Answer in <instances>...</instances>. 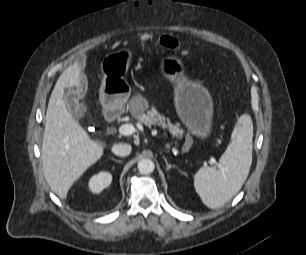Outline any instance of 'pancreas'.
Instances as JSON below:
<instances>
[{
  "label": "pancreas",
  "instance_id": "cf45deb5",
  "mask_svg": "<svg viewBox=\"0 0 306 255\" xmlns=\"http://www.w3.org/2000/svg\"><path fill=\"white\" fill-rule=\"evenodd\" d=\"M148 108L149 104L143 98L136 97L131 102V114L137 121L148 127L159 126L162 129H167L173 136L181 137L178 125L172 124L169 118H165L154 107H151L150 110H147Z\"/></svg>",
  "mask_w": 306,
  "mask_h": 255
}]
</instances>
